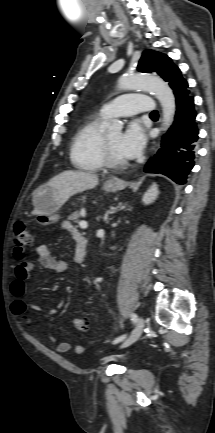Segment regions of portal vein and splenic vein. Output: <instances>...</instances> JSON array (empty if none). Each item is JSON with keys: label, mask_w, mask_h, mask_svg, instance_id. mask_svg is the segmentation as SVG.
Returning <instances> with one entry per match:
<instances>
[{"label": "portal vein and splenic vein", "mask_w": 215, "mask_h": 433, "mask_svg": "<svg viewBox=\"0 0 215 433\" xmlns=\"http://www.w3.org/2000/svg\"><path fill=\"white\" fill-rule=\"evenodd\" d=\"M79 225L82 229H86L88 227V224L85 220L80 221Z\"/></svg>", "instance_id": "1"}]
</instances>
